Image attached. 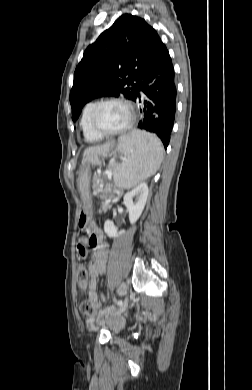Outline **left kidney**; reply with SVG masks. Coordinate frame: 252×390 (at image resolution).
<instances>
[{"instance_id": "left-kidney-1", "label": "left kidney", "mask_w": 252, "mask_h": 390, "mask_svg": "<svg viewBox=\"0 0 252 390\" xmlns=\"http://www.w3.org/2000/svg\"><path fill=\"white\" fill-rule=\"evenodd\" d=\"M148 197V186L146 183L139 184L132 191L124 196V204L129 213V220L134 224L142 214ZM104 231L110 238H116L123 234L124 231L118 232V229L111 220H106L104 224Z\"/></svg>"}]
</instances>
